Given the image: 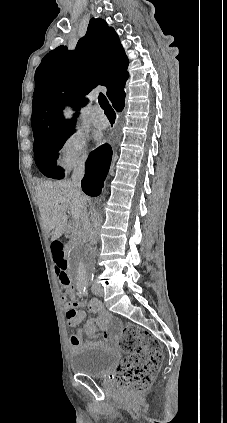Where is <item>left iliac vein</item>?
<instances>
[{"instance_id": "left-iliac-vein-1", "label": "left iliac vein", "mask_w": 227, "mask_h": 423, "mask_svg": "<svg viewBox=\"0 0 227 423\" xmlns=\"http://www.w3.org/2000/svg\"><path fill=\"white\" fill-rule=\"evenodd\" d=\"M101 290L99 289H93V293L97 296H102V294L100 293Z\"/></svg>"}]
</instances>
